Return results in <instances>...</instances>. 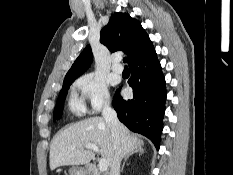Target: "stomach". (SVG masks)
<instances>
[{
  "mask_svg": "<svg viewBox=\"0 0 233 175\" xmlns=\"http://www.w3.org/2000/svg\"><path fill=\"white\" fill-rule=\"evenodd\" d=\"M70 175H87V172L84 168L81 167H72L69 170Z\"/></svg>",
  "mask_w": 233,
  "mask_h": 175,
  "instance_id": "1",
  "label": "stomach"
}]
</instances>
